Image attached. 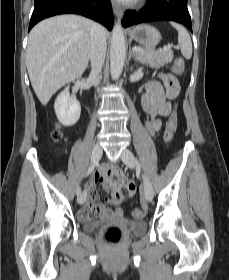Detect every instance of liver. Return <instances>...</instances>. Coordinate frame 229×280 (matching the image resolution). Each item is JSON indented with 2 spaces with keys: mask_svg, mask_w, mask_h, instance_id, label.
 I'll return each mask as SVG.
<instances>
[{
  "mask_svg": "<svg viewBox=\"0 0 229 280\" xmlns=\"http://www.w3.org/2000/svg\"><path fill=\"white\" fill-rule=\"evenodd\" d=\"M92 24L81 16L60 15L41 21L30 31L26 66L42 105L84 73L90 58ZM105 35H109L106 30Z\"/></svg>",
  "mask_w": 229,
  "mask_h": 280,
  "instance_id": "liver-1",
  "label": "liver"
}]
</instances>
